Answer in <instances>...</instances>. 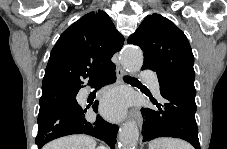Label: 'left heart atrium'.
I'll return each mask as SVG.
<instances>
[{
	"label": "left heart atrium",
	"instance_id": "1",
	"mask_svg": "<svg viewBox=\"0 0 227 149\" xmlns=\"http://www.w3.org/2000/svg\"><path fill=\"white\" fill-rule=\"evenodd\" d=\"M127 106L126 96L121 92L107 94L102 102L104 114L110 118H119L123 115Z\"/></svg>",
	"mask_w": 227,
	"mask_h": 149
}]
</instances>
